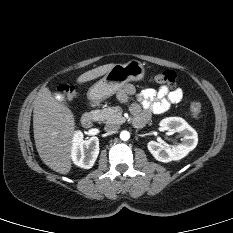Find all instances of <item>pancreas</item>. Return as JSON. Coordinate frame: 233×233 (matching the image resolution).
<instances>
[{
	"label": "pancreas",
	"instance_id": "cf45deb5",
	"mask_svg": "<svg viewBox=\"0 0 233 233\" xmlns=\"http://www.w3.org/2000/svg\"><path fill=\"white\" fill-rule=\"evenodd\" d=\"M96 115L99 117V120L105 123H123L124 118L122 117V111L115 107H106L102 110H96Z\"/></svg>",
	"mask_w": 233,
	"mask_h": 233
}]
</instances>
